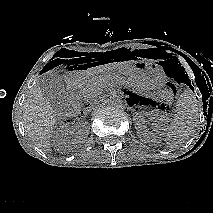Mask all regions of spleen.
Segmentation results:
<instances>
[{"label": "spleen", "instance_id": "1", "mask_svg": "<svg viewBox=\"0 0 213 213\" xmlns=\"http://www.w3.org/2000/svg\"><path fill=\"white\" fill-rule=\"evenodd\" d=\"M202 106L191 89H186L177 101L176 114L166 133V144L174 148L195 132Z\"/></svg>", "mask_w": 213, "mask_h": 213}]
</instances>
